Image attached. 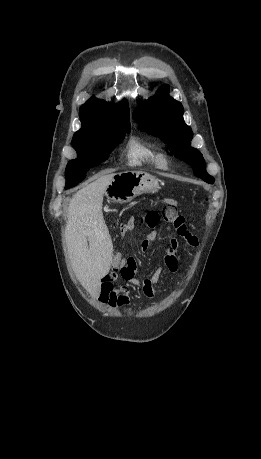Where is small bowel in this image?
<instances>
[{"label":"small bowel","instance_id":"obj_1","mask_svg":"<svg viewBox=\"0 0 261 459\" xmlns=\"http://www.w3.org/2000/svg\"><path fill=\"white\" fill-rule=\"evenodd\" d=\"M173 226V225H172ZM135 227L134 218H130L121 228L122 232L133 230ZM171 226L167 230L170 232ZM176 229V228H175ZM178 234L183 237L190 245L196 246L197 239L187 230L185 224L181 229H176ZM158 237L156 231H150L141 242V249L147 251L149 244ZM178 241L174 236L169 237V245L164 255V267L157 268L150 277L138 279L136 273V261L132 257L123 260L119 272H110L106 274L101 282L99 299L100 301L112 308H124L130 303L129 288L133 287L142 292V294L151 299L155 296L156 286L164 271V268L171 273H176L180 267L178 258ZM121 279L124 283L116 286V281Z\"/></svg>","mask_w":261,"mask_h":459}]
</instances>
